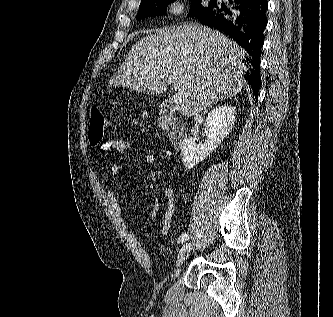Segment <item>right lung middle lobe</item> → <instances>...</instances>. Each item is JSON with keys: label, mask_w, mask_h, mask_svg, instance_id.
Segmentation results:
<instances>
[{"label": "right lung middle lobe", "mask_w": 333, "mask_h": 317, "mask_svg": "<svg viewBox=\"0 0 333 317\" xmlns=\"http://www.w3.org/2000/svg\"><path fill=\"white\" fill-rule=\"evenodd\" d=\"M174 1L175 0H141L136 18L141 19L148 16L164 15L166 6ZM206 8L207 6L202 5V0H192L190 12L191 14L197 16Z\"/></svg>", "instance_id": "1"}]
</instances>
